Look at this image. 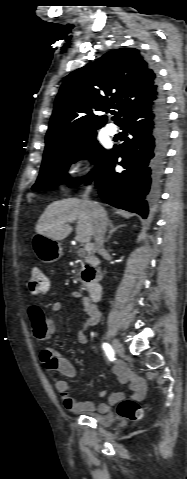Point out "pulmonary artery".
<instances>
[{"label":"pulmonary artery","instance_id":"pulmonary-artery-1","mask_svg":"<svg viewBox=\"0 0 187 479\" xmlns=\"http://www.w3.org/2000/svg\"><path fill=\"white\" fill-rule=\"evenodd\" d=\"M106 131L109 135L113 136L117 133L118 129L114 124H109L106 127Z\"/></svg>","mask_w":187,"mask_h":479}]
</instances>
